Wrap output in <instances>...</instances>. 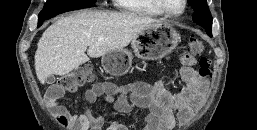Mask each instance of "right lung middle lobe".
Masks as SVG:
<instances>
[{"label":"right lung middle lobe","mask_w":257,"mask_h":130,"mask_svg":"<svg viewBox=\"0 0 257 130\" xmlns=\"http://www.w3.org/2000/svg\"><path fill=\"white\" fill-rule=\"evenodd\" d=\"M96 0H47L43 10L38 16L39 26L44 20L49 19L67 10L89 8Z\"/></svg>","instance_id":"right-lung-middle-lobe-1"}]
</instances>
